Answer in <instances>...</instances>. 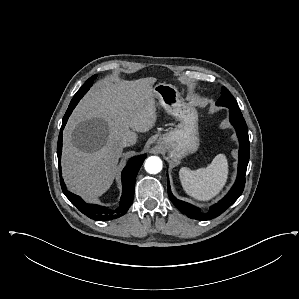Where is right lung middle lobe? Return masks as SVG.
<instances>
[{"label":"right lung middle lobe","instance_id":"dd1d6c3e","mask_svg":"<svg viewBox=\"0 0 299 299\" xmlns=\"http://www.w3.org/2000/svg\"><path fill=\"white\" fill-rule=\"evenodd\" d=\"M96 77H97V75H94L91 78H89L84 83V85L78 90V92L74 95V97L71 101H75V100L79 101L84 96V94L89 90V88L91 87V85Z\"/></svg>","mask_w":299,"mask_h":299}]
</instances>
